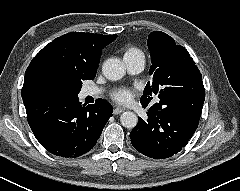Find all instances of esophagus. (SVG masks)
I'll return each mask as SVG.
<instances>
[{"instance_id":"1","label":"esophagus","mask_w":240,"mask_h":191,"mask_svg":"<svg viewBox=\"0 0 240 191\" xmlns=\"http://www.w3.org/2000/svg\"><path fill=\"white\" fill-rule=\"evenodd\" d=\"M123 111H124L123 108L117 107L113 110V113H114V115H118V114L122 113Z\"/></svg>"}]
</instances>
